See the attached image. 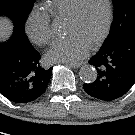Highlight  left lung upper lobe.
I'll list each match as a JSON object with an SVG mask.
<instances>
[{
    "label": "left lung upper lobe",
    "mask_w": 135,
    "mask_h": 135,
    "mask_svg": "<svg viewBox=\"0 0 135 135\" xmlns=\"http://www.w3.org/2000/svg\"><path fill=\"white\" fill-rule=\"evenodd\" d=\"M114 5V21L105 44L121 40L131 32H135V0H112Z\"/></svg>",
    "instance_id": "left-lung-upper-lobe-1"
}]
</instances>
